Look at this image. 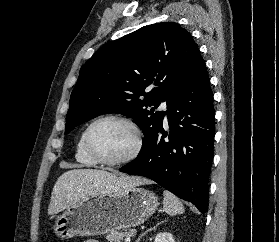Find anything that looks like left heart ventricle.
Here are the masks:
<instances>
[{"instance_id":"obj_1","label":"left heart ventricle","mask_w":279,"mask_h":242,"mask_svg":"<svg viewBox=\"0 0 279 242\" xmlns=\"http://www.w3.org/2000/svg\"><path fill=\"white\" fill-rule=\"evenodd\" d=\"M92 145L101 157L117 160L130 153L134 146V134L125 124L116 121H104L92 131Z\"/></svg>"}]
</instances>
